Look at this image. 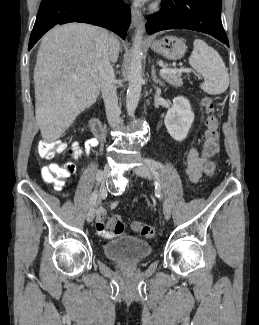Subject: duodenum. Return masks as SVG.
Listing matches in <instances>:
<instances>
[{"label":"duodenum","instance_id":"410a0bca","mask_svg":"<svg viewBox=\"0 0 259 325\" xmlns=\"http://www.w3.org/2000/svg\"><path fill=\"white\" fill-rule=\"evenodd\" d=\"M90 128L96 138H103L105 129L99 118L93 117L90 120Z\"/></svg>","mask_w":259,"mask_h":325}]
</instances>
